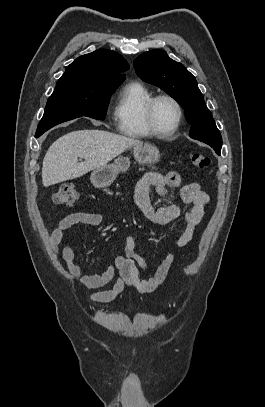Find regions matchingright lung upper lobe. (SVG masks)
Segmentation results:
<instances>
[{
	"instance_id": "1",
	"label": "right lung upper lobe",
	"mask_w": 265,
	"mask_h": 407,
	"mask_svg": "<svg viewBox=\"0 0 265 407\" xmlns=\"http://www.w3.org/2000/svg\"><path fill=\"white\" fill-rule=\"evenodd\" d=\"M128 69L129 65L121 55L114 51L98 49L78 57L67 66L61 78H70L77 82L122 83L125 76L120 73Z\"/></svg>"
}]
</instances>
